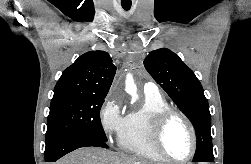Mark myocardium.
Wrapping results in <instances>:
<instances>
[{"instance_id": "f54148a6", "label": "myocardium", "mask_w": 251, "mask_h": 164, "mask_svg": "<svg viewBox=\"0 0 251 164\" xmlns=\"http://www.w3.org/2000/svg\"><path fill=\"white\" fill-rule=\"evenodd\" d=\"M179 117L184 121L186 126L188 127L191 134L192 147L190 153L184 158H174L170 156L163 144V137L167 125L171 121L172 118ZM152 143L155 150L158 154L166 161L174 162V163H183L191 160L196 151H197V134L192 124L191 120L181 111L169 108L166 109L155 116L152 122V131H151Z\"/></svg>"}]
</instances>
